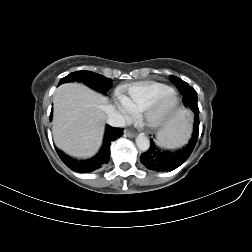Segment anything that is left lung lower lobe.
I'll list each match as a JSON object with an SVG mask.
<instances>
[{"label":"left lung lower lobe","instance_id":"obj_1","mask_svg":"<svg viewBox=\"0 0 252 252\" xmlns=\"http://www.w3.org/2000/svg\"><path fill=\"white\" fill-rule=\"evenodd\" d=\"M183 95V104L190 107L195 113L193 135L190 142L177 151H164L160 149L153 139L150 148L140 156L141 163L154 171H171L182 165L191 155L199 134V109L197 105V93L187 83L176 85Z\"/></svg>","mask_w":252,"mask_h":252}]
</instances>
